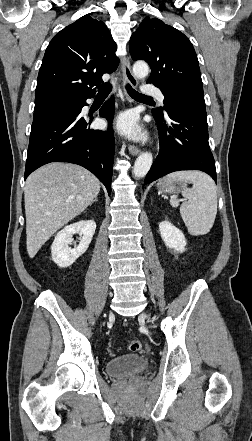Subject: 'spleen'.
Listing matches in <instances>:
<instances>
[{
    "mask_svg": "<svg viewBox=\"0 0 252 441\" xmlns=\"http://www.w3.org/2000/svg\"><path fill=\"white\" fill-rule=\"evenodd\" d=\"M190 181L192 188H184L186 202L180 206L181 217L192 236L207 234L217 214V192L213 179L201 171H178L166 177L167 182ZM172 207L178 206L176 196L170 200Z\"/></svg>",
    "mask_w": 252,
    "mask_h": 441,
    "instance_id": "3e777b00",
    "label": "spleen"
}]
</instances>
